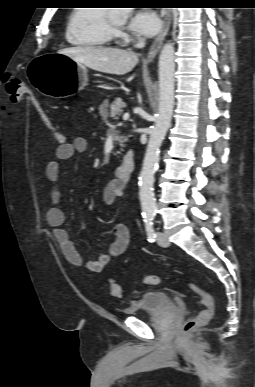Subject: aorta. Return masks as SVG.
I'll use <instances>...</instances> for the list:
<instances>
[{
    "label": "aorta",
    "instance_id": "1",
    "mask_svg": "<svg viewBox=\"0 0 255 387\" xmlns=\"http://www.w3.org/2000/svg\"><path fill=\"white\" fill-rule=\"evenodd\" d=\"M131 8H111V14L125 20ZM175 48L166 43L161 49L158 62L159 106L155 124L150 131V139L139 176V197L143 215L151 218L156 212L154 195V175L160 159V146L170 127L174 107Z\"/></svg>",
    "mask_w": 255,
    "mask_h": 387
}]
</instances>
